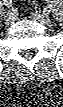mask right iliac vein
<instances>
[{
  "label": "right iliac vein",
  "mask_w": 63,
  "mask_h": 107,
  "mask_svg": "<svg viewBox=\"0 0 63 107\" xmlns=\"http://www.w3.org/2000/svg\"><path fill=\"white\" fill-rule=\"evenodd\" d=\"M4 19H5V23L9 24L14 20V17L12 16L11 13L7 12L4 16Z\"/></svg>",
  "instance_id": "right-iliac-vein-1"
}]
</instances>
